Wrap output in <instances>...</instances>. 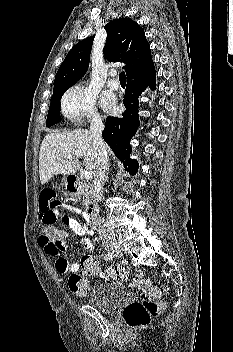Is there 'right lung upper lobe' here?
<instances>
[{"label": "right lung upper lobe", "instance_id": "1", "mask_svg": "<svg viewBox=\"0 0 233 352\" xmlns=\"http://www.w3.org/2000/svg\"><path fill=\"white\" fill-rule=\"evenodd\" d=\"M107 41L103 49L108 61L126 63L127 80L154 68L145 32L130 18H120L105 25ZM94 36L77 43L59 67L54 87L74 85L87 71Z\"/></svg>", "mask_w": 233, "mask_h": 352}]
</instances>
